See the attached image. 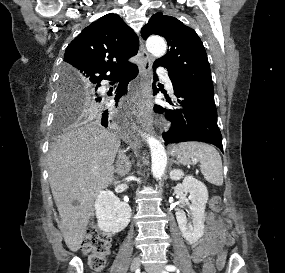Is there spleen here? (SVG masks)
Listing matches in <instances>:
<instances>
[{
    "label": "spleen",
    "mask_w": 285,
    "mask_h": 273,
    "mask_svg": "<svg viewBox=\"0 0 285 273\" xmlns=\"http://www.w3.org/2000/svg\"><path fill=\"white\" fill-rule=\"evenodd\" d=\"M172 153L183 165L199 162L200 170L209 183L223 184L221 156L214 147L199 142H182L172 148Z\"/></svg>",
    "instance_id": "obj_1"
}]
</instances>
